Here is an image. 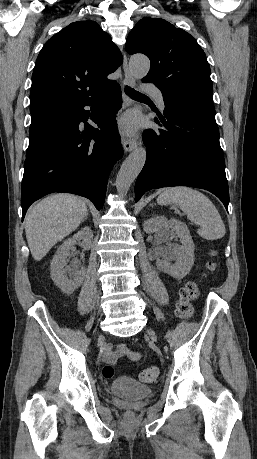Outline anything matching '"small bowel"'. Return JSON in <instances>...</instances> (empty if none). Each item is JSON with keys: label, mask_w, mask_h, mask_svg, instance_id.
I'll return each mask as SVG.
<instances>
[{"label": "small bowel", "mask_w": 257, "mask_h": 459, "mask_svg": "<svg viewBox=\"0 0 257 459\" xmlns=\"http://www.w3.org/2000/svg\"><path fill=\"white\" fill-rule=\"evenodd\" d=\"M127 357L130 360H139L141 355L138 352L129 350L125 345L109 346L104 353V360L107 363L114 364L119 358Z\"/></svg>", "instance_id": "c3829d8e"}]
</instances>
